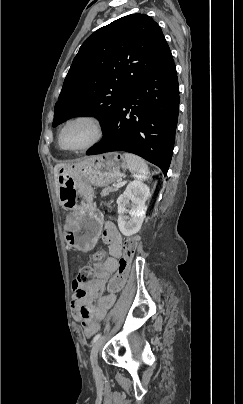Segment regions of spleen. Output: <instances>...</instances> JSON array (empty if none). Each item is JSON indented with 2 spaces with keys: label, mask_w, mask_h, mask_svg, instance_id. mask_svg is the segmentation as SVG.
<instances>
[{
  "label": "spleen",
  "mask_w": 243,
  "mask_h": 404,
  "mask_svg": "<svg viewBox=\"0 0 243 404\" xmlns=\"http://www.w3.org/2000/svg\"><path fill=\"white\" fill-rule=\"evenodd\" d=\"M124 158L127 162L128 170L137 180L145 182L149 178L150 172L145 160H142L139 156H134V154H124Z\"/></svg>",
  "instance_id": "obj_1"
}]
</instances>
